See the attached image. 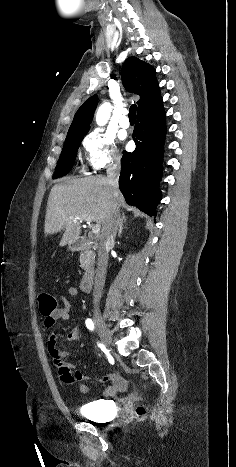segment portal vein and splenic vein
<instances>
[{
    "mask_svg": "<svg viewBox=\"0 0 236 467\" xmlns=\"http://www.w3.org/2000/svg\"><path fill=\"white\" fill-rule=\"evenodd\" d=\"M81 220L87 221L88 223L92 222L91 216H85ZM100 228H101V226L99 224H96V225L92 226L91 232L93 234H98L100 232Z\"/></svg>",
    "mask_w": 236,
    "mask_h": 467,
    "instance_id": "portal-vein-and-splenic-vein-1",
    "label": "portal vein and splenic vein"
}]
</instances>
